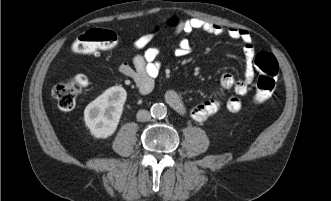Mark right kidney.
<instances>
[{"label":"right kidney","instance_id":"obj_1","mask_svg":"<svg viewBox=\"0 0 331 201\" xmlns=\"http://www.w3.org/2000/svg\"><path fill=\"white\" fill-rule=\"evenodd\" d=\"M126 98L127 92L123 87L113 86L86 106L84 110L85 125L95 138H108L114 134Z\"/></svg>","mask_w":331,"mask_h":201}]
</instances>
